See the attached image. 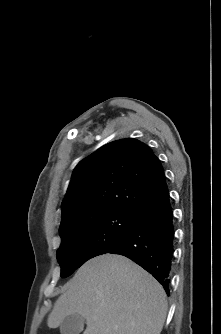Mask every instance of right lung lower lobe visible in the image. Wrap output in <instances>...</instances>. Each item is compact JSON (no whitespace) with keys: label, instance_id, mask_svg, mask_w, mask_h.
Returning <instances> with one entry per match:
<instances>
[{"label":"right lung lower lobe","instance_id":"obj_1","mask_svg":"<svg viewBox=\"0 0 221 334\" xmlns=\"http://www.w3.org/2000/svg\"><path fill=\"white\" fill-rule=\"evenodd\" d=\"M173 242V211L165 186L135 213L121 240L105 253L120 254L133 260L152 274L169 295Z\"/></svg>","mask_w":221,"mask_h":334}]
</instances>
